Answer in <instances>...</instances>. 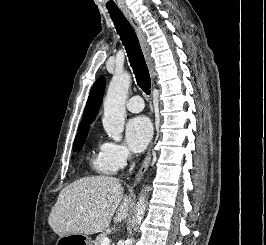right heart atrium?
<instances>
[{
  "label": "right heart atrium",
  "mask_w": 266,
  "mask_h": 245,
  "mask_svg": "<svg viewBox=\"0 0 266 245\" xmlns=\"http://www.w3.org/2000/svg\"><path fill=\"white\" fill-rule=\"evenodd\" d=\"M100 151L113 171L126 166L131 158V154L125 145L111 139H105L102 142Z\"/></svg>",
  "instance_id": "obj_1"
}]
</instances>
